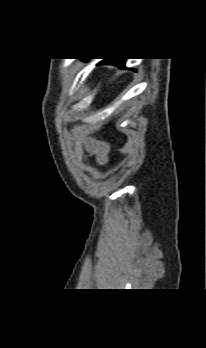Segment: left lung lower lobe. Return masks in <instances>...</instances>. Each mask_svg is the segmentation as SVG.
Masks as SVG:
<instances>
[{
	"mask_svg": "<svg viewBox=\"0 0 206 348\" xmlns=\"http://www.w3.org/2000/svg\"><path fill=\"white\" fill-rule=\"evenodd\" d=\"M99 64H112L116 65L119 68H125V60L124 59H114V60H103Z\"/></svg>",
	"mask_w": 206,
	"mask_h": 348,
	"instance_id": "left-lung-lower-lobe-1",
	"label": "left lung lower lobe"
}]
</instances>
